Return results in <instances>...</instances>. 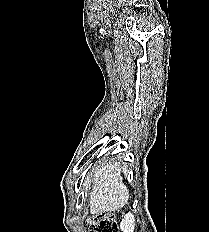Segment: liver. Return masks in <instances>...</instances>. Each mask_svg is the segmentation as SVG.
Here are the masks:
<instances>
[{
	"label": "liver",
	"mask_w": 209,
	"mask_h": 232,
	"mask_svg": "<svg viewBox=\"0 0 209 232\" xmlns=\"http://www.w3.org/2000/svg\"><path fill=\"white\" fill-rule=\"evenodd\" d=\"M120 164L106 163L94 171L89 206L92 213L121 209L128 202L129 190L123 182Z\"/></svg>",
	"instance_id": "liver-1"
}]
</instances>
